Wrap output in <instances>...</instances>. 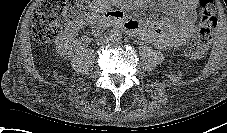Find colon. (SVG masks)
Instances as JSON below:
<instances>
[{"instance_id": "obj_1", "label": "colon", "mask_w": 227, "mask_h": 133, "mask_svg": "<svg viewBox=\"0 0 227 133\" xmlns=\"http://www.w3.org/2000/svg\"><path fill=\"white\" fill-rule=\"evenodd\" d=\"M78 0H42L32 17V37L40 44H49L59 35L63 19L71 15ZM199 27L187 44L186 53L197 59L204 56L213 30L217 26L215 0H198Z\"/></svg>"}]
</instances>
